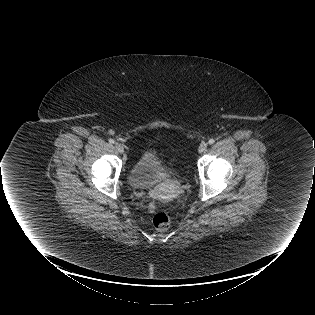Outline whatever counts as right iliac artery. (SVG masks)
I'll use <instances>...</instances> for the list:
<instances>
[{
    "instance_id": "right-iliac-artery-1",
    "label": "right iliac artery",
    "mask_w": 315,
    "mask_h": 315,
    "mask_svg": "<svg viewBox=\"0 0 315 315\" xmlns=\"http://www.w3.org/2000/svg\"><path fill=\"white\" fill-rule=\"evenodd\" d=\"M109 143H110V144H114V143H115L114 139H111V138H110V139H109Z\"/></svg>"
}]
</instances>
